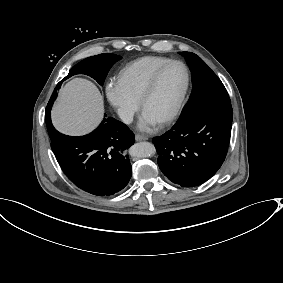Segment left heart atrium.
Segmentation results:
<instances>
[{
    "label": "left heart atrium",
    "mask_w": 283,
    "mask_h": 283,
    "mask_svg": "<svg viewBox=\"0 0 283 283\" xmlns=\"http://www.w3.org/2000/svg\"><path fill=\"white\" fill-rule=\"evenodd\" d=\"M159 121L153 117L149 112L142 111L138 127L143 131L153 130Z\"/></svg>",
    "instance_id": "obj_1"
}]
</instances>
